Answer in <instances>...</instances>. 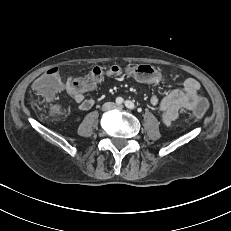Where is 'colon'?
Returning <instances> with one entry per match:
<instances>
[{
    "label": "colon",
    "mask_w": 231,
    "mask_h": 231,
    "mask_svg": "<svg viewBox=\"0 0 231 231\" xmlns=\"http://www.w3.org/2000/svg\"><path fill=\"white\" fill-rule=\"evenodd\" d=\"M59 72L60 68L54 67L47 73L41 74V76L33 82V89L35 92L48 98L53 97L61 90V79L58 76ZM122 73L130 75L138 84L147 87H161L166 85L169 81L166 74L162 73L160 70H155L149 65H130L126 67L112 65L108 67H94L89 74L76 79L73 82V86L80 91L91 90L104 78ZM211 106V102L208 99H201L193 109V117L199 121L203 120L209 113ZM51 113L53 115H59L61 113V107L59 105H53Z\"/></svg>",
    "instance_id": "colon-1"
}]
</instances>
